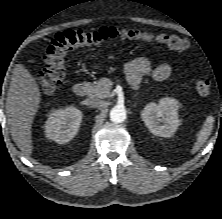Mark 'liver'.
<instances>
[{
	"label": "liver",
	"instance_id": "6515ba94",
	"mask_svg": "<svg viewBox=\"0 0 222 219\" xmlns=\"http://www.w3.org/2000/svg\"><path fill=\"white\" fill-rule=\"evenodd\" d=\"M40 102L35 78L22 64H17L7 93L6 114L12 139L27 158L33 150L31 126Z\"/></svg>",
	"mask_w": 222,
	"mask_h": 219
}]
</instances>
